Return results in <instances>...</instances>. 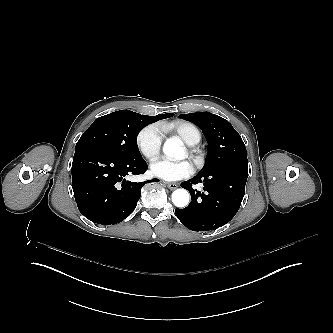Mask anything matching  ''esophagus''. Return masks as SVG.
I'll list each match as a JSON object with an SVG mask.
<instances>
[{"mask_svg": "<svg viewBox=\"0 0 333 333\" xmlns=\"http://www.w3.org/2000/svg\"><path fill=\"white\" fill-rule=\"evenodd\" d=\"M166 185L170 190H175L178 187L175 183H166Z\"/></svg>", "mask_w": 333, "mask_h": 333, "instance_id": "1", "label": "esophagus"}]
</instances>
